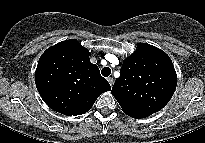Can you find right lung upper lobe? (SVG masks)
<instances>
[{
	"label": "right lung upper lobe",
	"mask_w": 205,
	"mask_h": 143,
	"mask_svg": "<svg viewBox=\"0 0 205 143\" xmlns=\"http://www.w3.org/2000/svg\"><path fill=\"white\" fill-rule=\"evenodd\" d=\"M77 40L48 48L40 57L35 83L44 102L54 111L77 116L91 109L100 94L111 90Z\"/></svg>",
	"instance_id": "right-lung-upper-lobe-1"
}]
</instances>
